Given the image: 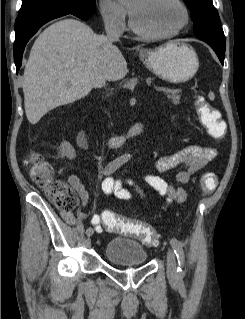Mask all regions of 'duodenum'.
<instances>
[{
	"instance_id": "obj_1",
	"label": "duodenum",
	"mask_w": 245,
	"mask_h": 319,
	"mask_svg": "<svg viewBox=\"0 0 245 319\" xmlns=\"http://www.w3.org/2000/svg\"><path fill=\"white\" fill-rule=\"evenodd\" d=\"M144 129L143 122H137L132 127H130L124 134L113 135L109 138V145L111 147H118L123 144V142L142 133Z\"/></svg>"
}]
</instances>
